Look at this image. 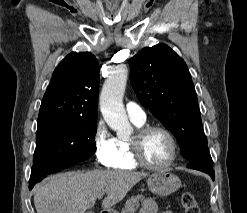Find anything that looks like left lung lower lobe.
<instances>
[{"label": "left lung lower lobe", "instance_id": "1", "mask_svg": "<svg viewBox=\"0 0 247 213\" xmlns=\"http://www.w3.org/2000/svg\"><path fill=\"white\" fill-rule=\"evenodd\" d=\"M189 160L190 163L187 165L189 168L203 171L209 174L213 180L215 179L213 161L207 145L201 146Z\"/></svg>", "mask_w": 247, "mask_h": 213}]
</instances>
